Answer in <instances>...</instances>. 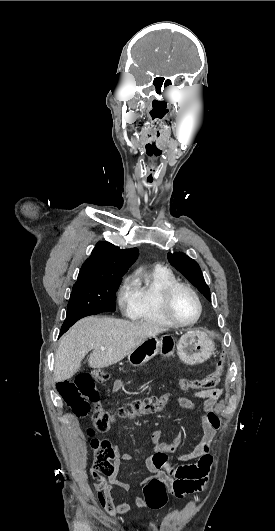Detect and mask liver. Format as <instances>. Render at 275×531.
Returning a JSON list of instances; mask_svg holds the SVG:
<instances>
[{
	"label": "liver",
	"instance_id": "liver-1",
	"mask_svg": "<svg viewBox=\"0 0 275 531\" xmlns=\"http://www.w3.org/2000/svg\"><path fill=\"white\" fill-rule=\"evenodd\" d=\"M167 329L153 323L124 321L111 317H85L71 327L62 337L55 357L54 381L71 379L85 355L89 357V367L103 369L122 361L132 349L138 347L148 337H155ZM100 347H105L101 351Z\"/></svg>",
	"mask_w": 275,
	"mask_h": 531
}]
</instances>
